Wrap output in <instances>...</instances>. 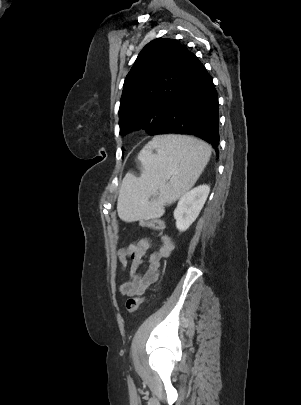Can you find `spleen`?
Here are the masks:
<instances>
[{"instance_id":"3e777b00","label":"spleen","mask_w":301,"mask_h":405,"mask_svg":"<svg viewBox=\"0 0 301 405\" xmlns=\"http://www.w3.org/2000/svg\"><path fill=\"white\" fill-rule=\"evenodd\" d=\"M210 156V146L196 138L154 137L138 154L143 166L140 177L129 173L122 181L119 217L127 222L160 217L166 204L175 202L196 183ZM157 190L159 197L149 200Z\"/></svg>"}]
</instances>
